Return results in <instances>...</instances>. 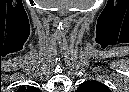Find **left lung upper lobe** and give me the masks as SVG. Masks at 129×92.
Returning <instances> with one entry per match:
<instances>
[{
	"label": "left lung upper lobe",
	"mask_w": 129,
	"mask_h": 92,
	"mask_svg": "<svg viewBox=\"0 0 129 92\" xmlns=\"http://www.w3.org/2000/svg\"><path fill=\"white\" fill-rule=\"evenodd\" d=\"M77 92H111L107 86L97 81H86L82 83Z\"/></svg>",
	"instance_id": "obj_1"
}]
</instances>
